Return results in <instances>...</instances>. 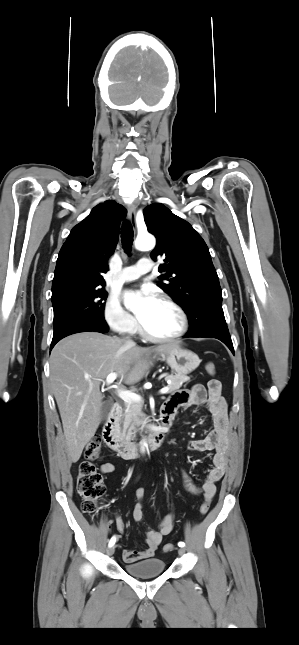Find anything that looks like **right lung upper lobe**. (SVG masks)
I'll return each mask as SVG.
<instances>
[{"label":"right lung upper lobe","instance_id":"1","mask_svg":"<svg viewBox=\"0 0 299 645\" xmlns=\"http://www.w3.org/2000/svg\"><path fill=\"white\" fill-rule=\"evenodd\" d=\"M126 209L115 201L95 206L76 225L63 244L56 263L52 296L68 289L103 288L102 273L119 238L120 220Z\"/></svg>","mask_w":299,"mask_h":645}]
</instances>
